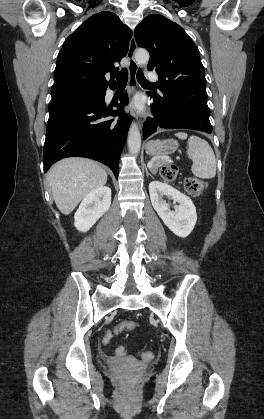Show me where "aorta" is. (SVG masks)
Segmentation results:
<instances>
[{
    "label": "aorta",
    "mask_w": 264,
    "mask_h": 419,
    "mask_svg": "<svg viewBox=\"0 0 264 419\" xmlns=\"http://www.w3.org/2000/svg\"><path fill=\"white\" fill-rule=\"evenodd\" d=\"M137 64L143 65L149 61V53L144 49H139L135 54ZM141 147V134L136 123H132L128 133V148L130 153L137 154Z\"/></svg>",
    "instance_id": "aorta-1"
}]
</instances>
